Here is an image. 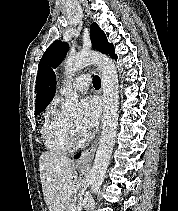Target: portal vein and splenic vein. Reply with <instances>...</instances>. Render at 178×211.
I'll return each instance as SVG.
<instances>
[{"mask_svg":"<svg viewBox=\"0 0 178 211\" xmlns=\"http://www.w3.org/2000/svg\"><path fill=\"white\" fill-rule=\"evenodd\" d=\"M76 201L75 202H73V204L71 205V207H70V209H71V211H75L76 210Z\"/></svg>","mask_w":178,"mask_h":211,"instance_id":"1","label":"portal vein and splenic vein"}]
</instances>
